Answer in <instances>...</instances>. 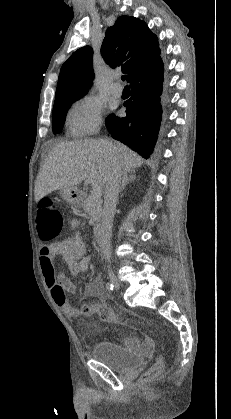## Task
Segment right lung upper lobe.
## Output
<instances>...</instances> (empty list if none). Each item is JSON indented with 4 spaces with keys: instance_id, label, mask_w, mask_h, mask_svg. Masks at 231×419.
Listing matches in <instances>:
<instances>
[{
    "instance_id": "right-lung-upper-lobe-1",
    "label": "right lung upper lobe",
    "mask_w": 231,
    "mask_h": 419,
    "mask_svg": "<svg viewBox=\"0 0 231 419\" xmlns=\"http://www.w3.org/2000/svg\"><path fill=\"white\" fill-rule=\"evenodd\" d=\"M157 37L144 21L121 16L107 29L101 54L111 67H121L127 81L151 67L160 57ZM92 48L82 47L62 65L55 94V102L84 96L94 78ZM54 102V103H55Z\"/></svg>"
}]
</instances>
